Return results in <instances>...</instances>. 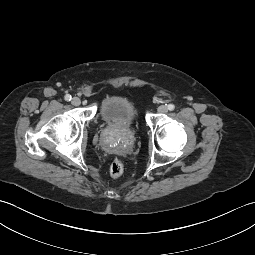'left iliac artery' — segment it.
<instances>
[{
  "mask_svg": "<svg viewBox=\"0 0 255 255\" xmlns=\"http://www.w3.org/2000/svg\"><path fill=\"white\" fill-rule=\"evenodd\" d=\"M168 109H169L170 111L174 110V109H175L174 104H169V105H168Z\"/></svg>",
  "mask_w": 255,
  "mask_h": 255,
  "instance_id": "1",
  "label": "left iliac artery"
}]
</instances>
